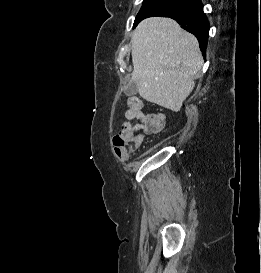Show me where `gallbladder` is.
I'll use <instances>...</instances> for the list:
<instances>
[{
    "label": "gallbladder",
    "mask_w": 261,
    "mask_h": 273,
    "mask_svg": "<svg viewBox=\"0 0 261 273\" xmlns=\"http://www.w3.org/2000/svg\"><path fill=\"white\" fill-rule=\"evenodd\" d=\"M137 92H138L137 83L132 79L130 80L125 89V94L127 96H134L137 94Z\"/></svg>",
    "instance_id": "bac80fb5"
}]
</instances>
